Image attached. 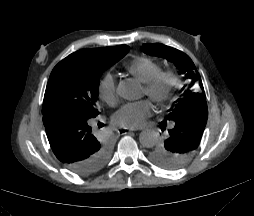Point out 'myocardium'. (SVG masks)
<instances>
[{"label":"myocardium","instance_id":"obj_1","mask_svg":"<svg viewBox=\"0 0 254 216\" xmlns=\"http://www.w3.org/2000/svg\"><path fill=\"white\" fill-rule=\"evenodd\" d=\"M176 85V75L172 71H160L156 74L155 82L149 87L148 92L154 96L157 103L166 100Z\"/></svg>","mask_w":254,"mask_h":216}]
</instances>
